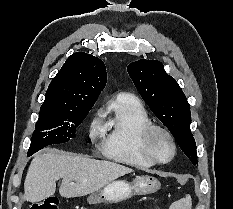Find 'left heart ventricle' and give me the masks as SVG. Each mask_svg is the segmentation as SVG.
I'll list each match as a JSON object with an SVG mask.
<instances>
[{
	"instance_id": "left-heart-ventricle-1",
	"label": "left heart ventricle",
	"mask_w": 233,
	"mask_h": 209,
	"mask_svg": "<svg viewBox=\"0 0 233 209\" xmlns=\"http://www.w3.org/2000/svg\"><path fill=\"white\" fill-rule=\"evenodd\" d=\"M151 149L154 155L160 160L168 159L172 152L170 141L163 134H156L154 136Z\"/></svg>"
}]
</instances>
